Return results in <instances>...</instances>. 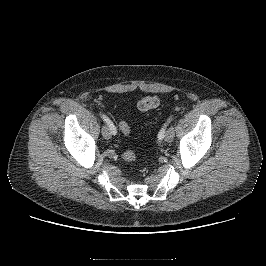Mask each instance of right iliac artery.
I'll list each match as a JSON object with an SVG mask.
<instances>
[{"label":"right iliac artery","instance_id":"obj_1","mask_svg":"<svg viewBox=\"0 0 266 266\" xmlns=\"http://www.w3.org/2000/svg\"><path fill=\"white\" fill-rule=\"evenodd\" d=\"M101 116H102L103 120L106 122V124L108 125L111 133L113 135H116L117 130H116V127L114 126V124L111 122V120L104 114H102Z\"/></svg>","mask_w":266,"mask_h":266}]
</instances>
